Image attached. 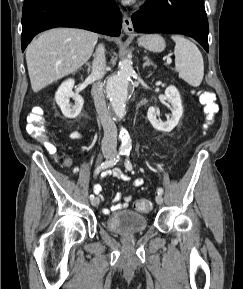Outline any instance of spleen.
Masks as SVG:
<instances>
[{
    "label": "spleen",
    "mask_w": 243,
    "mask_h": 289,
    "mask_svg": "<svg viewBox=\"0 0 243 289\" xmlns=\"http://www.w3.org/2000/svg\"><path fill=\"white\" fill-rule=\"evenodd\" d=\"M171 38L175 41V69L179 77L191 86H199L204 76V62L199 49L181 35H172Z\"/></svg>",
    "instance_id": "spleen-1"
}]
</instances>
